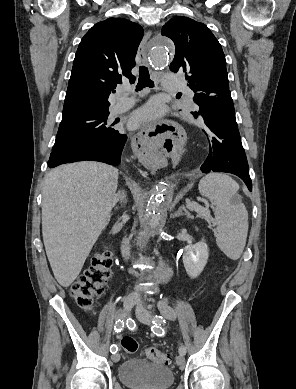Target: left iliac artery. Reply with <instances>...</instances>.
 I'll return each mask as SVG.
<instances>
[{
    "label": "left iliac artery",
    "mask_w": 296,
    "mask_h": 389,
    "mask_svg": "<svg viewBox=\"0 0 296 389\" xmlns=\"http://www.w3.org/2000/svg\"><path fill=\"white\" fill-rule=\"evenodd\" d=\"M152 322L154 324L151 328L153 333L158 336H162L164 334V330L162 329L161 325L165 323V319L162 316L155 315L152 319ZM178 351L180 354L184 355L186 353V348L183 345H181Z\"/></svg>",
    "instance_id": "obj_1"
}]
</instances>
